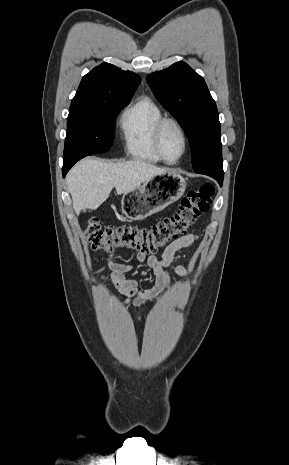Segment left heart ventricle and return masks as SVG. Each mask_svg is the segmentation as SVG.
Instances as JSON below:
<instances>
[{
    "instance_id": "left-heart-ventricle-1",
    "label": "left heart ventricle",
    "mask_w": 289,
    "mask_h": 465,
    "mask_svg": "<svg viewBox=\"0 0 289 465\" xmlns=\"http://www.w3.org/2000/svg\"><path fill=\"white\" fill-rule=\"evenodd\" d=\"M164 155L170 159H176L183 151V139L178 129L169 124L165 127L162 138Z\"/></svg>"
}]
</instances>
